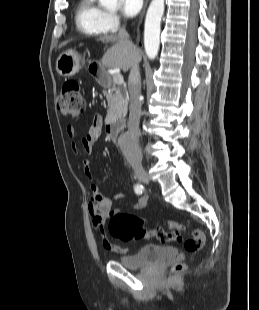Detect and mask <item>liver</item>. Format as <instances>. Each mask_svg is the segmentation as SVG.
Wrapping results in <instances>:
<instances>
[{"label": "liver", "instance_id": "liver-1", "mask_svg": "<svg viewBox=\"0 0 259 310\" xmlns=\"http://www.w3.org/2000/svg\"><path fill=\"white\" fill-rule=\"evenodd\" d=\"M102 43H113V45L107 49L103 58L102 65L109 68H120L124 72H127L135 61H140L141 56L139 51L134 46H130L122 41L118 36L106 35L99 38Z\"/></svg>", "mask_w": 259, "mask_h": 310}]
</instances>
